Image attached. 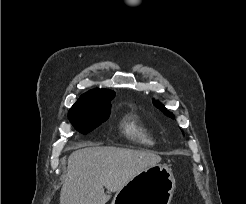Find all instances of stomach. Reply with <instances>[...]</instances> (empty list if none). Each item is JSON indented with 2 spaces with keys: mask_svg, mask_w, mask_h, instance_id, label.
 I'll list each match as a JSON object with an SVG mask.
<instances>
[{
  "mask_svg": "<svg viewBox=\"0 0 246 204\" xmlns=\"http://www.w3.org/2000/svg\"><path fill=\"white\" fill-rule=\"evenodd\" d=\"M174 188L172 172L157 164L130 179L115 194L112 204H170Z\"/></svg>",
  "mask_w": 246,
  "mask_h": 204,
  "instance_id": "obj_1",
  "label": "stomach"
}]
</instances>
